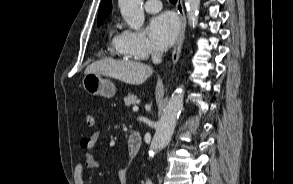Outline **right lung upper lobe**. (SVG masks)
I'll use <instances>...</instances> for the list:
<instances>
[{
  "label": "right lung upper lobe",
  "instance_id": "right-lung-upper-lobe-1",
  "mask_svg": "<svg viewBox=\"0 0 293 184\" xmlns=\"http://www.w3.org/2000/svg\"><path fill=\"white\" fill-rule=\"evenodd\" d=\"M112 10L111 0H102L99 12H98V25L109 15Z\"/></svg>",
  "mask_w": 293,
  "mask_h": 184
}]
</instances>
